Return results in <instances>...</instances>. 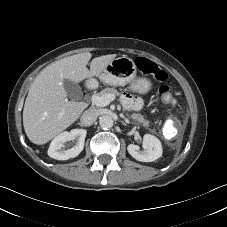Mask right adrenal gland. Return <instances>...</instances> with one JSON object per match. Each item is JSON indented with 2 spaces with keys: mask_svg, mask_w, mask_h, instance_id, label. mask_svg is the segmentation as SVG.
<instances>
[{
  "mask_svg": "<svg viewBox=\"0 0 227 227\" xmlns=\"http://www.w3.org/2000/svg\"><path fill=\"white\" fill-rule=\"evenodd\" d=\"M80 126H82V124L81 123H78Z\"/></svg>",
  "mask_w": 227,
  "mask_h": 227,
  "instance_id": "obj_1",
  "label": "right adrenal gland"
}]
</instances>
